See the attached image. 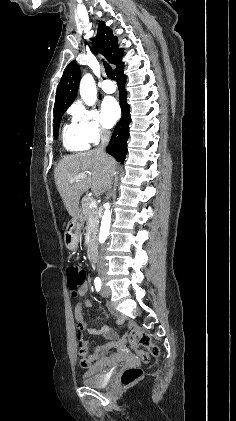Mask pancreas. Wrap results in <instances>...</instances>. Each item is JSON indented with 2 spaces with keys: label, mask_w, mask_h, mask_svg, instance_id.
Returning <instances> with one entry per match:
<instances>
[{
  "label": "pancreas",
  "mask_w": 236,
  "mask_h": 421,
  "mask_svg": "<svg viewBox=\"0 0 236 421\" xmlns=\"http://www.w3.org/2000/svg\"><path fill=\"white\" fill-rule=\"evenodd\" d=\"M89 204H90V198H83L82 213L87 223V227H91L92 233H94L92 237H94V239H97L96 235H97V231L99 227V217H98L99 211H98V208H90Z\"/></svg>",
  "instance_id": "obj_1"
}]
</instances>
